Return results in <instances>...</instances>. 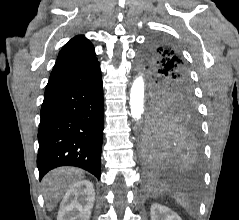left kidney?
<instances>
[{"label":"left kidney","instance_id":"5707ae66","mask_svg":"<svg viewBox=\"0 0 239 220\" xmlns=\"http://www.w3.org/2000/svg\"><path fill=\"white\" fill-rule=\"evenodd\" d=\"M150 210L151 220H182L171 209L157 203L152 204Z\"/></svg>","mask_w":239,"mask_h":220}]
</instances>
